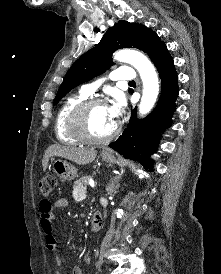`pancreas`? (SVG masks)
Segmentation results:
<instances>
[{
	"label": "pancreas",
	"instance_id": "pancreas-1",
	"mask_svg": "<svg viewBox=\"0 0 221 274\" xmlns=\"http://www.w3.org/2000/svg\"><path fill=\"white\" fill-rule=\"evenodd\" d=\"M89 180H90L89 176H84L76 180L73 185L74 192L81 194L86 189V186L88 185Z\"/></svg>",
	"mask_w": 221,
	"mask_h": 274
}]
</instances>
